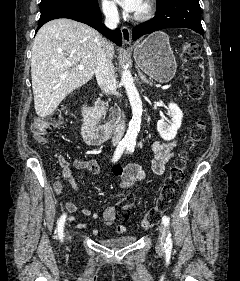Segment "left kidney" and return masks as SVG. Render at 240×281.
<instances>
[{
  "mask_svg": "<svg viewBox=\"0 0 240 281\" xmlns=\"http://www.w3.org/2000/svg\"><path fill=\"white\" fill-rule=\"evenodd\" d=\"M168 116L171 117L170 121L167 118H161L157 122V130L165 141H170L176 137L177 130L181 127L183 113L175 103H170L168 105Z\"/></svg>",
  "mask_w": 240,
  "mask_h": 281,
  "instance_id": "1",
  "label": "left kidney"
}]
</instances>
